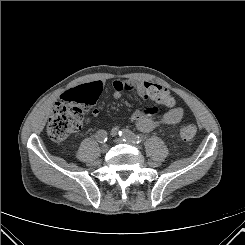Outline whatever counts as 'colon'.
<instances>
[{
  "label": "colon",
  "mask_w": 245,
  "mask_h": 245,
  "mask_svg": "<svg viewBox=\"0 0 245 245\" xmlns=\"http://www.w3.org/2000/svg\"><path fill=\"white\" fill-rule=\"evenodd\" d=\"M101 85L89 83L65 92L51 111L48 121V135L54 141H62L78 131L83 122L84 111L94 105L100 95ZM197 132L191 123L183 124L179 133L183 140H191Z\"/></svg>",
  "instance_id": "1"
}]
</instances>
